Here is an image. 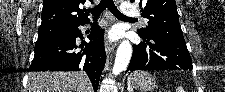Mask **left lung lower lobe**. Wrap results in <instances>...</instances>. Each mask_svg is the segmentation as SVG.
Masks as SVG:
<instances>
[{"label": "left lung lower lobe", "mask_w": 225, "mask_h": 92, "mask_svg": "<svg viewBox=\"0 0 225 92\" xmlns=\"http://www.w3.org/2000/svg\"><path fill=\"white\" fill-rule=\"evenodd\" d=\"M143 43L133 45L128 70H192V60L185 41L167 37H142Z\"/></svg>", "instance_id": "0a47b994"}]
</instances>
